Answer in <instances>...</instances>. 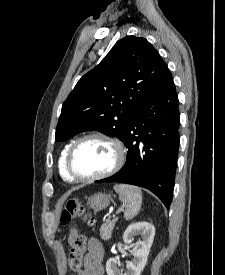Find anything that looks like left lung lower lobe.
Here are the masks:
<instances>
[{
  "instance_id": "obj_1",
  "label": "left lung lower lobe",
  "mask_w": 225,
  "mask_h": 275,
  "mask_svg": "<svg viewBox=\"0 0 225 275\" xmlns=\"http://www.w3.org/2000/svg\"><path fill=\"white\" fill-rule=\"evenodd\" d=\"M178 95L171 73L145 101L124 139V167L97 182H120L147 188L169 208L175 184L179 147Z\"/></svg>"
}]
</instances>
